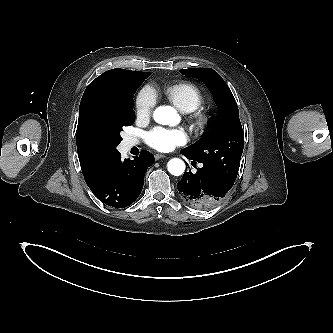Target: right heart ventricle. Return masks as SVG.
Here are the masks:
<instances>
[{
  "mask_svg": "<svg viewBox=\"0 0 333 333\" xmlns=\"http://www.w3.org/2000/svg\"><path fill=\"white\" fill-rule=\"evenodd\" d=\"M167 98L182 112L196 110L204 101L199 87L191 82H179L166 87Z\"/></svg>",
  "mask_w": 333,
  "mask_h": 333,
  "instance_id": "e07e8e85",
  "label": "right heart ventricle"
}]
</instances>
